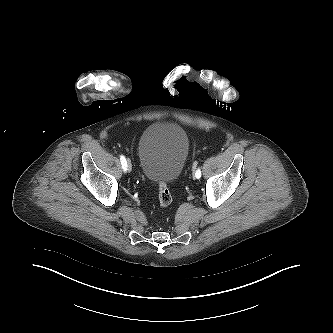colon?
Instances as JSON below:
<instances>
[{"label": "colon", "instance_id": "5ec220e1", "mask_svg": "<svg viewBox=\"0 0 333 333\" xmlns=\"http://www.w3.org/2000/svg\"><path fill=\"white\" fill-rule=\"evenodd\" d=\"M158 199L162 208H167L172 203V196L168 185L164 182H160L158 185Z\"/></svg>", "mask_w": 333, "mask_h": 333}]
</instances>
